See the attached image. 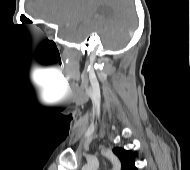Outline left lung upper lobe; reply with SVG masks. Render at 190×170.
Segmentation results:
<instances>
[{"instance_id": "left-lung-upper-lobe-1", "label": "left lung upper lobe", "mask_w": 190, "mask_h": 170, "mask_svg": "<svg viewBox=\"0 0 190 170\" xmlns=\"http://www.w3.org/2000/svg\"><path fill=\"white\" fill-rule=\"evenodd\" d=\"M113 152L121 161V170H137L135 167V156L131 151L116 147L113 149Z\"/></svg>"}]
</instances>
